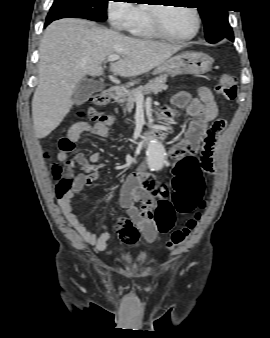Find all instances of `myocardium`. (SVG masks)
<instances>
[{"instance_id": "obj_1", "label": "myocardium", "mask_w": 270, "mask_h": 338, "mask_svg": "<svg viewBox=\"0 0 270 338\" xmlns=\"http://www.w3.org/2000/svg\"><path fill=\"white\" fill-rule=\"evenodd\" d=\"M166 7H170V6H167L166 4L165 5H149L150 26L152 30L154 31V33L161 38H164L170 41H175V42L188 41L196 37V35L198 34L200 30V25H201V18H200V14L197 8L190 7V9L193 11L196 17L195 30L193 31V33H191L188 36L179 37V36H174L170 34L169 32H167L162 25V21L160 18V10Z\"/></svg>"}]
</instances>
